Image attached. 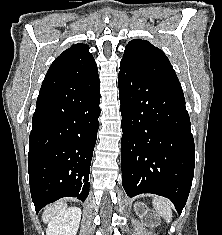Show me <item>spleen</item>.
Instances as JSON below:
<instances>
[{
    "instance_id": "1",
    "label": "spleen",
    "mask_w": 222,
    "mask_h": 235,
    "mask_svg": "<svg viewBox=\"0 0 222 235\" xmlns=\"http://www.w3.org/2000/svg\"><path fill=\"white\" fill-rule=\"evenodd\" d=\"M153 206L156 212L165 219L167 223L171 221L172 218V203L164 198L155 197L153 199Z\"/></svg>"
}]
</instances>
